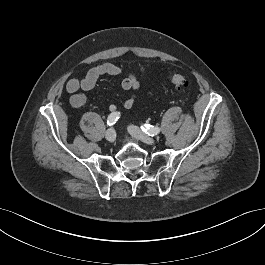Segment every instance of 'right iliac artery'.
Segmentation results:
<instances>
[{
	"label": "right iliac artery",
	"instance_id": "obj_1",
	"mask_svg": "<svg viewBox=\"0 0 265 265\" xmlns=\"http://www.w3.org/2000/svg\"><path fill=\"white\" fill-rule=\"evenodd\" d=\"M120 118V112H112L107 119V125L112 126L114 125L117 120Z\"/></svg>",
	"mask_w": 265,
	"mask_h": 265
}]
</instances>
